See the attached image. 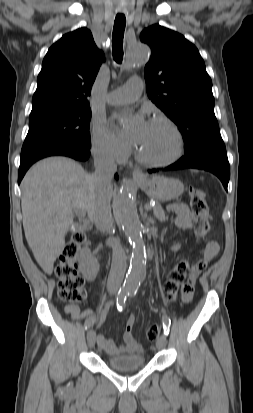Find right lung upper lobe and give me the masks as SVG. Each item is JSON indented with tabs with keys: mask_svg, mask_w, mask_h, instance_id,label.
Wrapping results in <instances>:
<instances>
[{
	"mask_svg": "<svg viewBox=\"0 0 253 413\" xmlns=\"http://www.w3.org/2000/svg\"><path fill=\"white\" fill-rule=\"evenodd\" d=\"M104 61L90 30L80 28L64 35L48 50L37 89L32 99V111L52 107L89 106L91 88Z\"/></svg>",
	"mask_w": 253,
	"mask_h": 413,
	"instance_id": "1",
	"label": "right lung upper lobe"
}]
</instances>
